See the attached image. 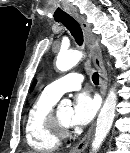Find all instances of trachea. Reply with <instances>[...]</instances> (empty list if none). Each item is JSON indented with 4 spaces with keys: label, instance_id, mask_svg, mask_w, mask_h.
Segmentation results:
<instances>
[{
    "label": "trachea",
    "instance_id": "3493384b",
    "mask_svg": "<svg viewBox=\"0 0 130 153\" xmlns=\"http://www.w3.org/2000/svg\"><path fill=\"white\" fill-rule=\"evenodd\" d=\"M57 22H61L72 34L75 41L78 45L83 44V33L78 22L73 19L71 16H66L56 20ZM92 81L94 84H99V74L97 72L93 73Z\"/></svg>",
    "mask_w": 130,
    "mask_h": 153
}]
</instances>
